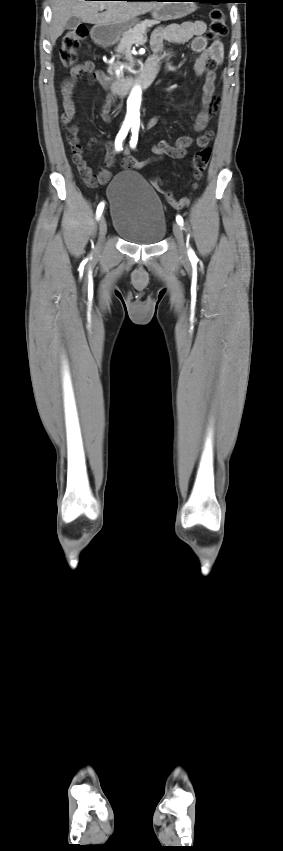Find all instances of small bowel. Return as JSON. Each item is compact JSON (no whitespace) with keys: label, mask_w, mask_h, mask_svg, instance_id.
<instances>
[{"label":"small bowel","mask_w":283,"mask_h":851,"mask_svg":"<svg viewBox=\"0 0 283 851\" xmlns=\"http://www.w3.org/2000/svg\"><path fill=\"white\" fill-rule=\"evenodd\" d=\"M206 24L201 20H187L182 23H171L158 27L152 35L151 45L155 55L152 58L160 61L165 54V42L171 41L175 43L190 42L191 50L198 53L194 60V69L197 75H205L203 85L202 109L196 115L194 128L200 132L205 129L211 116L215 113L217 100H213L215 92V73L217 65L223 60L224 48L220 41H215L208 46L205 36ZM70 78L64 82L62 86V98L64 106V114L62 115V123L69 124L76 115V107L73 101V90L76 87L78 78L85 74L92 75L94 79L101 84L103 89H107V96L101 106V115L104 121H110V113L114 103V95L116 89L110 87V82L103 72L96 70L95 65L91 61H85L71 68ZM159 117L151 119L147 128H151L159 122ZM67 141L71 146L72 159L77 166L86 184L94 186L96 184H106L110 179V171L108 168L115 163L114 154L109 151L105 156V167L101 168L96 175L92 173L91 168L83 157V148L78 137V128L70 127L66 132ZM211 139V134L206 133L197 137L182 136L179 137L174 144L168 141L161 140L156 142L152 151L155 157L138 161L129 153H125L121 165L123 168H141L165 156L174 159L183 158L188 149L196 144L199 147L206 146ZM97 140L93 139L92 143ZM107 147H110V142H105Z\"/></svg>","instance_id":"obj_1"}]
</instances>
